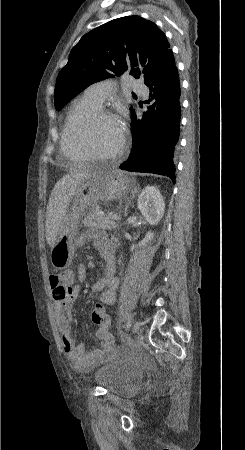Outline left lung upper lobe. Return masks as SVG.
<instances>
[{
  "instance_id": "left-lung-upper-lobe-1",
  "label": "left lung upper lobe",
  "mask_w": 245,
  "mask_h": 450,
  "mask_svg": "<svg viewBox=\"0 0 245 450\" xmlns=\"http://www.w3.org/2000/svg\"><path fill=\"white\" fill-rule=\"evenodd\" d=\"M172 56L164 33L153 22L139 16L109 21L71 50L56 80L55 108L60 110L89 85L123 73L143 78L146 84Z\"/></svg>"
}]
</instances>
